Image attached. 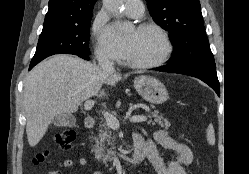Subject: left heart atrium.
Instances as JSON below:
<instances>
[{
    "label": "left heart atrium",
    "instance_id": "obj_1",
    "mask_svg": "<svg viewBox=\"0 0 249 174\" xmlns=\"http://www.w3.org/2000/svg\"><path fill=\"white\" fill-rule=\"evenodd\" d=\"M107 41L117 57L126 58L129 48V44L127 41L119 40L113 32H110L107 37Z\"/></svg>",
    "mask_w": 249,
    "mask_h": 174
}]
</instances>
